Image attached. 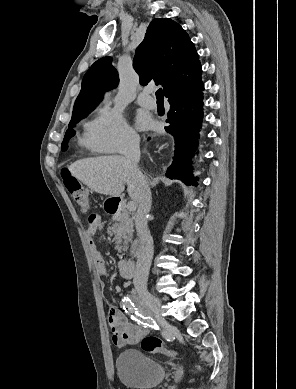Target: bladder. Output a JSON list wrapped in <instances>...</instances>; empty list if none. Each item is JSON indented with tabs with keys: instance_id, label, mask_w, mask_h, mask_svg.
I'll list each match as a JSON object with an SVG mask.
<instances>
[{
	"instance_id": "1",
	"label": "bladder",
	"mask_w": 296,
	"mask_h": 389,
	"mask_svg": "<svg viewBox=\"0 0 296 389\" xmlns=\"http://www.w3.org/2000/svg\"><path fill=\"white\" fill-rule=\"evenodd\" d=\"M116 370L120 381L132 389H150L166 377L163 365L137 349L121 351L116 359Z\"/></svg>"
}]
</instances>
